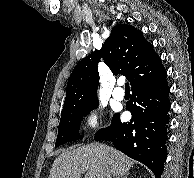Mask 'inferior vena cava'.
I'll list each match as a JSON object with an SVG mask.
<instances>
[{"label": "inferior vena cava", "mask_w": 194, "mask_h": 178, "mask_svg": "<svg viewBox=\"0 0 194 178\" xmlns=\"http://www.w3.org/2000/svg\"><path fill=\"white\" fill-rule=\"evenodd\" d=\"M103 178H111V173L110 171H106V173L104 174V177Z\"/></svg>", "instance_id": "602c4592"}]
</instances>
